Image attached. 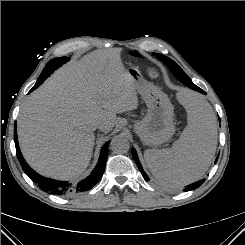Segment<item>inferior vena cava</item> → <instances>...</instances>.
<instances>
[{"label": "inferior vena cava", "mask_w": 245, "mask_h": 245, "mask_svg": "<svg viewBox=\"0 0 245 245\" xmlns=\"http://www.w3.org/2000/svg\"><path fill=\"white\" fill-rule=\"evenodd\" d=\"M103 126H104L103 123H99V124L96 125V129H102Z\"/></svg>", "instance_id": "602c4592"}]
</instances>
